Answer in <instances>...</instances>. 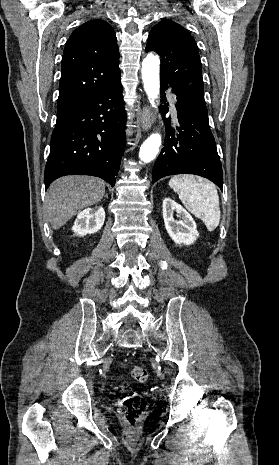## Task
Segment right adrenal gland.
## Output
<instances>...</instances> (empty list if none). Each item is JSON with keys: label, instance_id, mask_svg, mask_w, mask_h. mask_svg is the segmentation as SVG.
<instances>
[{"label": "right adrenal gland", "instance_id": "1", "mask_svg": "<svg viewBox=\"0 0 279 465\" xmlns=\"http://www.w3.org/2000/svg\"><path fill=\"white\" fill-rule=\"evenodd\" d=\"M105 197L108 198V195L106 194Z\"/></svg>", "mask_w": 279, "mask_h": 465}]
</instances>
